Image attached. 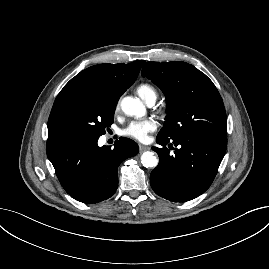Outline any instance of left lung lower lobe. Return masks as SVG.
I'll return each instance as SVG.
<instances>
[{
    "label": "left lung lower lobe",
    "instance_id": "1",
    "mask_svg": "<svg viewBox=\"0 0 269 269\" xmlns=\"http://www.w3.org/2000/svg\"><path fill=\"white\" fill-rule=\"evenodd\" d=\"M163 148L153 147L159 165L151 172L150 184L159 196L174 202L192 200L204 193L213 182L224 157L227 138L195 134L173 141L157 138ZM177 148L170 154L166 145Z\"/></svg>",
    "mask_w": 269,
    "mask_h": 269
}]
</instances>
